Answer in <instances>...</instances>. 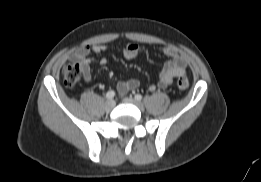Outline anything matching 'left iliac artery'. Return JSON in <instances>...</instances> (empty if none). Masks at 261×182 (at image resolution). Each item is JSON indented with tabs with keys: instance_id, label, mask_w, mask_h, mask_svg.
I'll use <instances>...</instances> for the list:
<instances>
[{
	"instance_id": "left-iliac-artery-1",
	"label": "left iliac artery",
	"mask_w": 261,
	"mask_h": 182,
	"mask_svg": "<svg viewBox=\"0 0 261 182\" xmlns=\"http://www.w3.org/2000/svg\"><path fill=\"white\" fill-rule=\"evenodd\" d=\"M135 99H136L137 101H141V100H142V95H141V94H136V95H135Z\"/></svg>"
}]
</instances>
